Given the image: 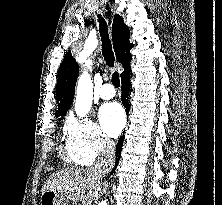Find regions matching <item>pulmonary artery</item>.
Returning a JSON list of instances; mask_svg holds the SVG:
<instances>
[{"label":"pulmonary artery","mask_w":222,"mask_h":205,"mask_svg":"<svg viewBox=\"0 0 222 205\" xmlns=\"http://www.w3.org/2000/svg\"><path fill=\"white\" fill-rule=\"evenodd\" d=\"M99 96L105 100L112 99L115 96V88L110 83H104L99 89Z\"/></svg>","instance_id":"e3ab8cb5"}]
</instances>
